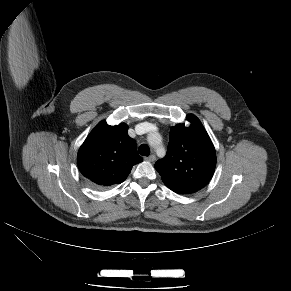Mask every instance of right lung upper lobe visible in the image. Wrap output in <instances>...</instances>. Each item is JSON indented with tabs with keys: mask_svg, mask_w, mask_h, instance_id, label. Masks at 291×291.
Wrapping results in <instances>:
<instances>
[{
	"mask_svg": "<svg viewBox=\"0 0 291 291\" xmlns=\"http://www.w3.org/2000/svg\"><path fill=\"white\" fill-rule=\"evenodd\" d=\"M127 131L125 123L110 126L101 121L80 147L78 168L95 186L122 183L132 166L142 161L135 140L128 136Z\"/></svg>",
	"mask_w": 291,
	"mask_h": 291,
	"instance_id": "obj_1",
	"label": "right lung upper lobe"
}]
</instances>
